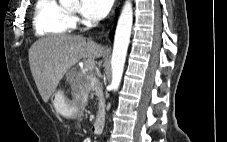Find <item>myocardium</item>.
Masks as SVG:
<instances>
[{
    "instance_id": "obj_1",
    "label": "myocardium",
    "mask_w": 227,
    "mask_h": 142,
    "mask_svg": "<svg viewBox=\"0 0 227 142\" xmlns=\"http://www.w3.org/2000/svg\"><path fill=\"white\" fill-rule=\"evenodd\" d=\"M67 12H68V15H69L72 19L75 18L76 12H73V11H67Z\"/></svg>"
}]
</instances>
